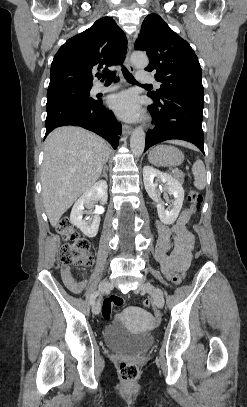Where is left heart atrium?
Segmentation results:
<instances>
[{
    "label": "left heart atrium",
    "instance_id": "1",
    "mask_svg": "<svg viewBox=\"0 0 247 407\" xmlns=\"http://www.w3.org/2000/svg\"><path fill=\"white\" fill-rule=\"evenodd\" d=\"M109 106L123 119H135L140 113L137 98L131 92H123L111 96Z\"/></svg>",
    "mask_w": 247,
    "mask_h": 407
}]
</instances>
